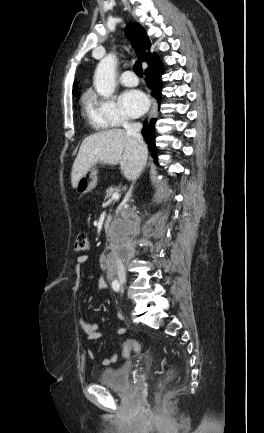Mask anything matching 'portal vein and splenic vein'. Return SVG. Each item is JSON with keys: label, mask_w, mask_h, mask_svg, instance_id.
Returning a JSON list of instances; mask_svg holds the SVG:
<instances>
[{"label": "portal vein and splenic vein", "mask_w": 264, "mask_h": 433, "mask_svg": "<svg viewBox=\"0 0 264 433\" xmlns=\"http://www.w3.org/2000/svg\"><path fill=\"white\" fill-rule=\"evenodd\" d=\"M119 198H120L119 193L115 192V193L112 194V197H111L110 200H118Z\"/></svg>", "instance_id": "obj_1"}]
</instances>
